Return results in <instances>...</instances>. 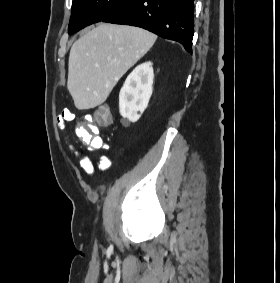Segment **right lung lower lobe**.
I'll list each match as a JSON object with an SVG mask.
<instances>
[{
  "mask_svg": "<svg viewBox=\"0 0 280 283\" xmlns=\"http://www.w3.org/2000/svg\"><path fill=\"white\" fill-rule=\"evenodd\" d=\"M102 22L144 28L192 53L194 0H132Z\"/></svg>",
  "mask_w": 280,
  "mask_h": 283,
  "instance_id": "98d812e1",
  "label": "right lung lower lobe"
}]
</instances>
